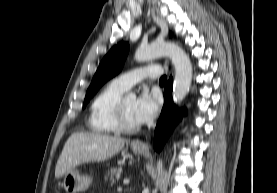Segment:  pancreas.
Listing matches in <instances>:
<instances>
[{
	"instance_id": "obj_1",
	"label": "pancreas",
	"mask_w": 277,
	"mask_h": 193,
	"mask_svg": "<svg viewBox=\"0 0 277 193\" xmlns=\"http://www.w3.org/2000/svg\"><path fill=\"white\" fill-rule=\"evenodd\" d=\"M121 168H112L106 172L105 178L111 181V184H114L119 180L121 174Z\"/></svg>"
}]
</instances>
